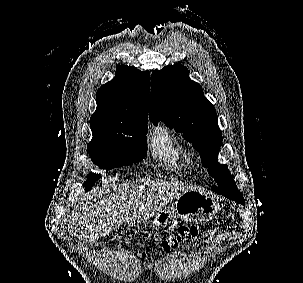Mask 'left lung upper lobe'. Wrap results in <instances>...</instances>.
Listing matches in <instances>:
<instances>
[{
    "label": "left lung upper lobe",
    "mask_w": 303,
    "mask_h": 283,
    "mask_svg": "<svg viewBox=\"0 0 303 283\" xmlns=\"http://www.w3.org/2000/svg\"><path fill=\"white\" fill-rule=\"evenodd\" d=\"M149 117L154 125L162 121L192 143L202 165L217 183L212 186L214 192L242 195L227 165L218 163L222 133L216 110L205 98L201 85L189 78L186 67L174 64L153 71Z\"/></svg>",
    "instance_id": "obj_1"
}]
</instances>
